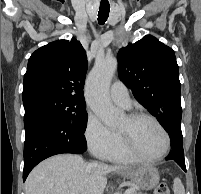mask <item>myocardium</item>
Returning a JSON list of instances; mask_svg holds the SVG:
<instances>
[{
	"label": "myocardium",
	"mask_w": 201,
	"mask_h": 194,
	"mask_svg": "<svg viewBox=\"0 0 201 194\" xmlns=\"http://www.w3.org/2000/svg\"><path fill=\"white\" fill-rule=\"evenodd\" d=\"M127 119L131 123H135L141 119H148V120L152 121L162 131V133L165 137V142H166L164 150L159 155L147 156V155L142 154L135 148V146L132 142L131 136L128 132L119 130V134L122 138L123 145H124L125 149L132 156H134L135 158H137L139 160L149 161V162L158 161L167 156V154L170 152L171 145H172L171 136H170L168 130L166 129V127L155 116L148 114V113H144V112H136V113L129 114L127 116Z\"/></svg>",
	"instance_id": "myocardium-1"
}]
</instances>
